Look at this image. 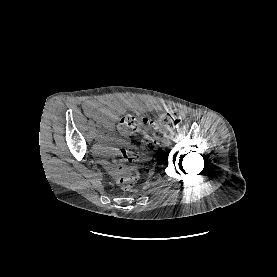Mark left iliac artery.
I'll return each instance as SVG.
<instances>
[{"mask_svg":"<svg viewBox=\"0 0 277 277\" xmlns=\"http://www.w3.org/2000/svg\"><path fill=\"white\" fill-rule=\"evenodd\" d=\"M174 136H175V132L172 131V132H170L169 135L166 136V137H167L168 139H172Z\"/></svg>","mask_w":277,"mask_h":277,"instance_id":"44dca946","label":"left iliac artery"}]
</instances>
